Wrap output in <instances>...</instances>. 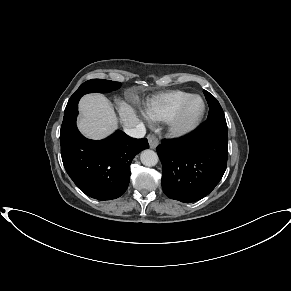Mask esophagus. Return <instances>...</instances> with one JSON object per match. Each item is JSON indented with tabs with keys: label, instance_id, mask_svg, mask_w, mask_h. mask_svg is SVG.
Here are the masks:
<instances>
[{
	"label": "esophagus",
	"instance_id": "1",
	"mask_svg": "<svg viewBox=\"0 0 291 291\" xmlns=\"http://www.w3.org/2000/svg\"><path fill=\"white\" fill-rule=\"evenodd\" d=\"M147 139L151 149H155L159 144L157 137L153 134L148 135Z\"/></svg>",
	"mask_w": 291,
	"mask_h": 291
}]
</instances>
